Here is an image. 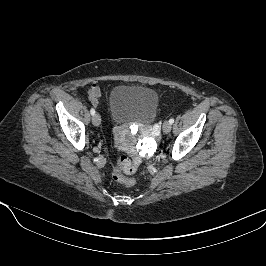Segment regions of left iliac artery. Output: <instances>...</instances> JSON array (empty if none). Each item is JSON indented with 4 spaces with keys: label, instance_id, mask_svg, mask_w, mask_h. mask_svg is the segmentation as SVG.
Instances as JSON below:
<instances>
[{
    "label": "left iliac artery",
    "instance_id": "1",
    "mask_svg": "<svg viewBox=\"0 0 266 266\" xmlns=\"http://www.w3.org/2000/svg\"><path fill=\"white\" fill-rule=\"evenodd\" d=\"M169 123H170V124H173V123H174V119L171 118V119L169 120Z\"/></svg>",
    "mask_w": 266,
    "mask_h": 266
}]
</instances>
